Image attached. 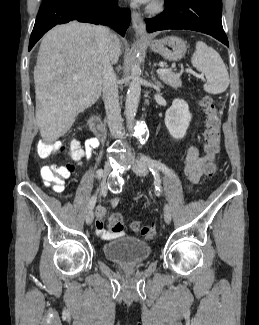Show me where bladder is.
I'll return each mask as SVG.
<instances>
[{
	"mask_svg": "<svg viewBox=\"0 0 259 325\" xmlns=\"http://www.w3.org/2000/svg\"><path fill=\"white\" fill-rule=\"evenodd\" d=\"M105 257L115 263L136 264L146 260L151 254V246L136 237L124 236L104 244Z\"/></svg>",
	"mask_w": 259,
	"mask_h": 325,
	"instance_id": "31cf9c89",
	"label": "bladder"
}]
</instances>
